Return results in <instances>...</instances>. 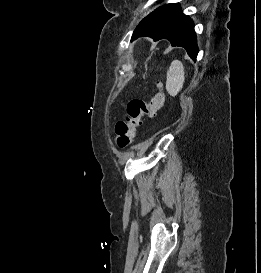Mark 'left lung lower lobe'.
I'll return each mask as SVG.
<instances>
[{"label": "left lung lower lobe", "instance_id": "left-lung-lower-lobe-1", "mask_svg": "<svg viewBox=\"0 0 261 273\" xmlns=\"http://www.w3.org/2000/svg\"><path fill=\"white\" fill-rule=\"evenodd\" d=\"M141 36L155 41L168 39L172 46L185 48L191 59L196 60L198 47L194 25L178 4H166L146 16L134 30L131 40Z\"/></svg>", "mask_w": 261, "mask_h": 273}]
</instances>
